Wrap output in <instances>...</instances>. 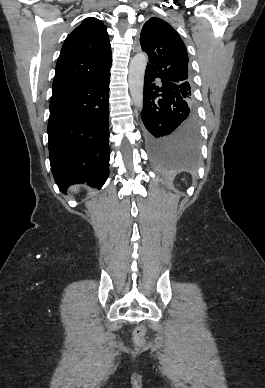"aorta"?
Returning <instances> with one entry per match:
<instances>
[{
	"label": "aorta",
	"mask_w": 265,
	"mask_h": 388,
	"mask_svg": "<svg viewBox=\"0 0 265 388\" xmlns=\"http://www.w3.org/2000/svg\"><path fill=\"white\" fill-rule=\"evenodd\" d=\"M148 58L144 53L136 54L129 65V90L131 97L139 110L143 108L144 75Z\"/></svg>",
	"instance_id": "obj_1"
}]
</instances>
